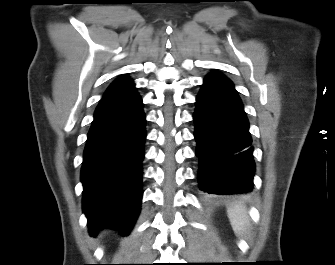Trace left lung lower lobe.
Listing matches in <instances>:
<instances>
[{
    "mask_svg": "<svg viewBox=\"0 0 335 265\" xmlns=\"http://www.w3.org/2000/svg\"><path fill=\"white\" fill-rule=\"evenodd\" d=\"M196 106L193 118L200 189L216 195L250 192L255 171L252 139L232 82L219 73L208 74Z\"/></svg>",
    "mask_w": 335,
    "mask_h": 265,
    "instance_id": "obj_1",
    "label": "left lung lower lobe"
}]
</instances>
